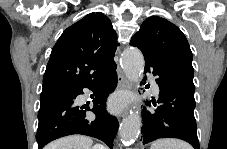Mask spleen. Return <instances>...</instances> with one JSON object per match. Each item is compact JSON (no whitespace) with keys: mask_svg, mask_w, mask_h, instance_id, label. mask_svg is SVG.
<instances>
[{"mask_svg":"<svg viewBox=\"0 0 227 149\" xmlns=\"http://www.w3.org/2000/svg\"><path fill=\"white\" fill-rule=\"evenodd\" d=\"M151 149H192L191 146L178 139H159L152 143Z\"/></svg>","mask_w":227,"mask_h":149,"instance_id":"obj_1","label":"spleen"}]
</instances>
